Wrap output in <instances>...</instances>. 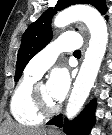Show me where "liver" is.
Wrapping results in <instances>:
<instances>
[{
  "instance_id": "obj_1",
  "label": "liver",
  "mask_w": 112,
  "mask_h": 135,
  "mask_svg": "<svg viewBox=\"0 0 112 135\" xmlns=\"http://www.w3.org/2000/svg\"><path fill=\"white\" fill-rule=\"evenodd\" d=\"M0 134L4 135H45V128L28 129L18 126L13 122H7L4 125L3 132Z\"/></svg>"
}]
</instances>
